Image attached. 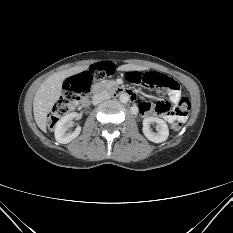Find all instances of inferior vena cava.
I'll return each instance as SVG.
<instances>
[{"mask_svg":"<svg viewBox=\"0 0 233 233\" xmlns=\"http://www.w3.org/2000/svg\"><path fill=\"white\" fill-rule=\"evenodd\" d=\"M109 98H110L109 93H107V92H101V93L93 95L92 102H93L94 105H97L100 102H102L104 100H107Z\"/></svg>","mask_w":233,"mask_h":233,"instance_id":"1","label":"inferior vena cava"}]
</instances>
